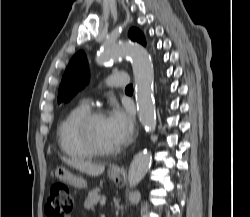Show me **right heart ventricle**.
Instances as JSON below:
<instances>
[{"mask_svg":"<svg viewBox=\"0 0 250 217\" xmlns=\"http://www.w3.org/2000/svg\"><path fill=\"white\" fill-rule=\"evenodd\" d=\"M90 111L85 103L73 106L57 129L58 144L63 153L74 159H87L94 154L85 146L79 135V122Z\"/></svg>","mask_w":250,"mask_h":217,"instance_id":"obj_1","label":"right heart ventricle"}]
</instances>
